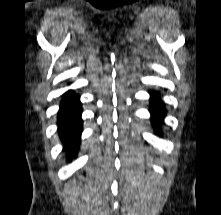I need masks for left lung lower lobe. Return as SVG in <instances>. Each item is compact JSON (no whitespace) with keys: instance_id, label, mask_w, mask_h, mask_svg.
I'll return each mask as SVG.
<instances>
[{"instance_id":"0a47b994","label":"left lung lower lobe","mask_w":221,"mask_h":215,"mask_svg":"<svg viewBox=\"0 0 221 215\" xmlns=\"http://www.w3.org/2000/svg\"><path fill=\"white\" fill-rule=\"evenodd\" d=\"M151 106H150V113L152 115L151 122L156 127L154 128L155 131L162 135L160 126L163 124V118L166 115V109L163 106V103L161 102L160 95L157 92L151 93Z\"/></svg>"}]
</instances>
